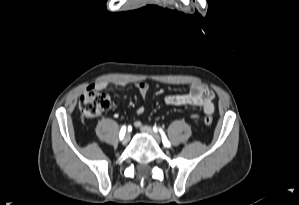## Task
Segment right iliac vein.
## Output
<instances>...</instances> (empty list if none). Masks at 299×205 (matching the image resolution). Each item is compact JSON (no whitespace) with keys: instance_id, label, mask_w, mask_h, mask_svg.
Segmentation results:
<instances>
[{"instance_id":"obj_1","label":"right iliac vein","mask_w":299,"mask_h":205,"mask_svg":"<svg viewBox=\"0 0 299 205\" xmlns=\"http://www.w3.org/2000/svg\"><path fill=\"white\" fill-rule=\"evenodd\" d=\"M129 140H130V135L127 133L121 141L123 144H126L129 142Z\"/></svg>"}]
</instances>
